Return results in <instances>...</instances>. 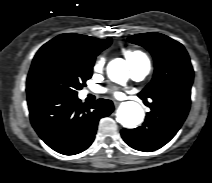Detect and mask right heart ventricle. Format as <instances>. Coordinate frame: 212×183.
Wrapping results in <instances>:
<instances>
[{
	"label": "right heart ventricle",
	"mask_w": 212,
	"mask_h": 183,
	"mask_svg": "<svg viewBox=\"0 0 212 183\" xmlns=\"http://www.w3.org/2000/svg\"><path fill=\"white\" fill-rule=\"evenodd\" d=\"M125 57L128 63L130 64V66L142 61L149 62L147 56L139 50H127L125 51Z\"/></svg>",
	"instance_id": "right-heart-ventricle-1"
}]
</instances>
